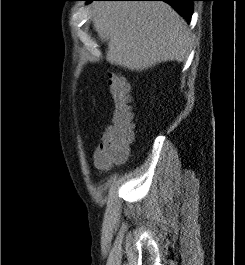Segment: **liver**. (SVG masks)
<instances>
[{
	"instance_id": "obj_1",
	"label": "liver",
	"mask_w": 245,
	"mask_h": 265,
	"mask_svg": "<svg viewBox=\"0 0 245 265\" xmlns=\"http://www.w3.org/2000/svg\"><path fill=\"white\" fill-rule=\"evenodd\" d=\"M96 31L109 39L108 58L115 65L143 71L162 62H183L189 54L186 21L160 1H96Z\"/></svg>"
}]
</instances>
